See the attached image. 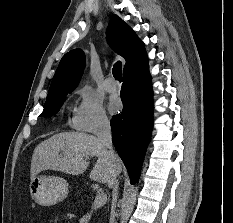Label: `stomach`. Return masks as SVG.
<instances>
[{"mask_svg":"<svg viewBox=\"0 0 233 223\" xmlns=\"http://www.w3.org/2000/svg\"><path fill=\"white\" fill-rule=\"evenodd\" d=\"M32 199L38 205H55L69 193V183L58 175H35L29 183Z\"/></svg>","mask_w":233,"mask_h":223,"instance_id":"stomach-1","label":"stomach"}]
</instances>
